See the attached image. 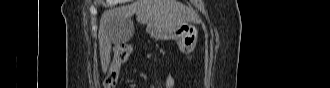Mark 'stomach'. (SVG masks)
Segmentation results:
<instances>
[{
    "mask_svg": "<svg viewBox=\"0 0 330 88\" xmlns=\"http://www.w3.org/2000/svg\"><path fill=\"white\" fill-rule=\"evenodd\" d=\"M166 30V36L169 39L177 41L179 49L183 53H190L194 50L198 40V27L191 23H183L178 25L159 26ZM155 35L158 32H153Z\"/></svg>",
    "mask_w": 330,
    "mask_h": 88,
    "instance_id": "stomach-1",
    "label": "stomach"
}]
</instances>
